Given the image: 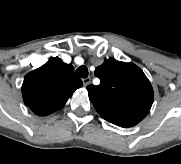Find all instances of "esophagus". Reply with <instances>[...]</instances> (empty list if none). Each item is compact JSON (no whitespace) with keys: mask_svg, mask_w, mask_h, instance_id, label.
<instances>
[{"mask_svg":"<svg viewBox=\"0 0 181 164\" xmlns=\"http://www.w3.org/2000/svg\"><path fill=\"white\" fill-rule=\"evenodd\" d=\"M90 82H91V78L90 77H87V78L83 79V84H84L85 87L88 86L90 84Z\"/></svg>","mask_w":181,"mask_h":164,"instance_id":"obj_1","label":"esophagus"}]
</instances>
